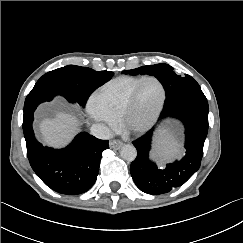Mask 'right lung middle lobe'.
<instances>
[{
    "label": "right lung middle lobe",
    "instance_id": "1",
    "mask_svg": "<svg viewBox=\"0 0 243 243\" xmlns=\"http://www.w3.org/2000/svg\"><path fill=\"white\" fill-rule=\"evenodd\" d=\"M112 76L110 71L68 65L43 75L32 90L52 91L84 107L92 92Z\"/></svg>",
    "mask_w": 243,
    "mask_h": 243
}]
</instances>
